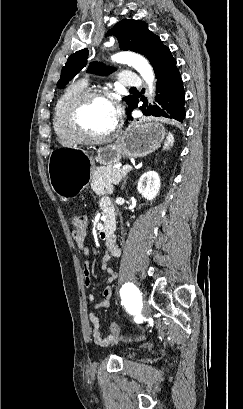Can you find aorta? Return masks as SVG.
<instances>
[{"label":"aorta","instance_id":"762f6f07","mask_svg":"<svg viewBox=\"0 0 243 409\" xmlns=\"http://www.w3.org/2000/svg\"><path fill=\"white\" fill-rule=\"evenodd\" d=\"M112 60L118 63L132 66L139 72V74L148 84L150 93L153 92L154 72L149 62L144 57L135 53L123 52L114 55L112 57Z\"/></svg>","mask_w":243,"mask_h":409}]
</instances>
